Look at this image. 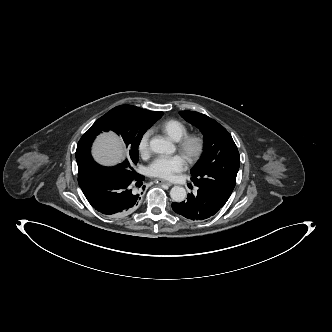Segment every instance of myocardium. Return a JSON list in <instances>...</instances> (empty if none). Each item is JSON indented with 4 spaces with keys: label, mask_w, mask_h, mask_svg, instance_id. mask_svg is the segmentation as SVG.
<instances>
[{
    "label": "myocardium",
    "mask_w": 332,
    "mask_h": 332,
    "mask_svg": "<svg viewBox=\"0 0 332 332\" xmlns=\"http://www.w3.org/2000/svg\"><path fill=\"white\" fill-rule=\"evenodd\" d=\"M177 143L178 150L189 163L198 161L205 151V139L201 134H186Z\"/></svg>",
    "instance_id": "1"
}]
</instances>
